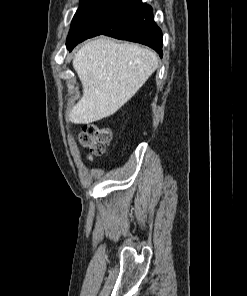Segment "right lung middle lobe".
<instances>
[{"mask_svg": "<svg viewBox=\"0 0 247 296\" xmlns=\"http://www.w3.org/2000/svg\"><path fill=\"white\" fill-rule=\"evenodd\" d=\"M80 6L72 20L67 38V48L71 51L88 34V23L94 19L110 0H80Z\"/></svg>", "mask_w": 247, "mask_h": 296, "instance_id": "dd1d6c3e", "label": "right lung middle lobe"}]
</instances>
